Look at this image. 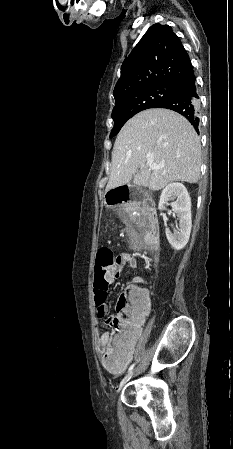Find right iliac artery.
Here are the masks:
<instances>
[{"label": "right iliac artery", "mask_w": 233, "mask_h": 449, "mask_svg": "<svg viewBox=\"0 0 233 449\" xmlns=\"http://www.w3.org/2000/svg\"><path fill=\"white\" fill-rule=\"evenodd\" d=\"M133 367H134V364L129 367L128 372H130L133 369Z\"/></svg>", "instance_id": "right-iliac-artery-1"}]
</instances>
